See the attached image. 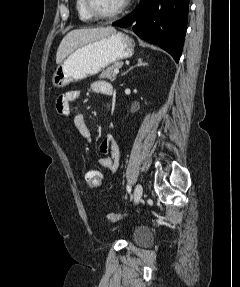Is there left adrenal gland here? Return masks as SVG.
I'll return each instance as SVG.
<instances>
[{"label": "left adrenal gland", "instance_id": "left-adrenal-gland-1", "mask_svg": "<svg viewBox=\"0 0 240 287\" xmlns=\"http://www.w3.org/2000/svg\"><path fill=\"white\" fill-rule=\"evenodd\" d=\"M147 65V63L143 62V59H138L137 60V64L135 66L130 67L127 71H125L122 75H125L126 73H128L130 70H132L134 67H138V66H145Z\"/></svg>", "mask_w": 240, "mask_h": 287}]
</instances>
